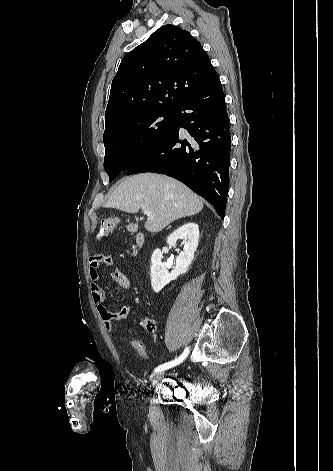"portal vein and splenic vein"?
<instances>
[{
	"instance_id": "18ae733b",
	"label": "portal vein and splenic vein",
	"mask_w": 333,
	"mask_h": 471,
	"mask_svg": "<svg viewBox=\"0 0 333 471\" xmlns=\"http://www.w3.org/2000/svg\"><path fill=\"white\" fill-rule=\"evenodd\" d=\"M143 212H144V214L147 215V216H150V214H151L150 211L147 210V209H145Z\"/></svg>"
}]
</instances>
